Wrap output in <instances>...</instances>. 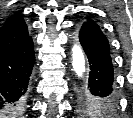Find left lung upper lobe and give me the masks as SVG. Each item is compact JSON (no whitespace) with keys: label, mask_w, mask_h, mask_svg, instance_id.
<instances>
[{"label":"left lung upper lobe","mask_w":133,"mask_h":118,"mask_svg":"<svg viewBox=\"0 0 133 118\" xmlns=\"http://www.w3.org/2000/svg\"><path fill=\"white\" fill-rule=\"evenodd\" d=\"M84 24L99 27L93 20L88 19ZM116 102L110 98L98 99L83 87L77 94V109L80 114L92 116L101 113V110L110 112L114 109Z\"/></svg>","instance_id":"left-lung-upper-lobe-1"}]
</instances>
